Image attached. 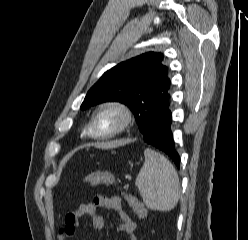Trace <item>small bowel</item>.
Segmentation results:
<instances>
[{
  "label": "small bowel",
  "instance_id": "1",
  "mask_svg": "<svg viewBox=\"0 0 248 240\" xmlns=\"http://www.w3.org/2000/svg\"><path fill=\"white\" fill-rule=\"evenodd\" d=\"M98 210H113L120 219L117 230L126 234L130 240H137L134 235L136 223L130 218L123 208L121 200L112 196L110 198L97 196L93 203H84L72 212H69L64 220V224L59 230L58 239L68 240L72 238L77 231V227L83 217H90L92 225L96 229L103 227V220L97 215Z\"/></svg>",
  "mask_w": 248,
  "mask_h": 240
}]
</instances>
